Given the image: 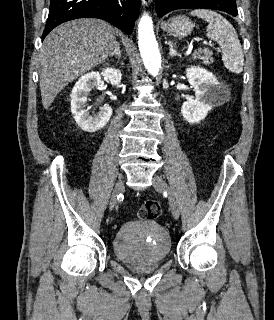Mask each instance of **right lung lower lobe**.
<instances>
[{
  "label": "right lung lower lobe",
  "instance_id": "obj_1",
  "mask_svg": "<svg viewBox=\"0 0 274 320\" xmlns=\"http://www.w3.org/2000/svg\"><path fill=\"white\" fill-rule=\"evenodd\" d=\"M140 0H51L42 39L59 24L77 18H100L131 34Z\"/></svg>",
  "mask_w": 274,
  "mask_h": 320
}]
</instances>
